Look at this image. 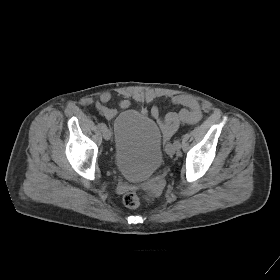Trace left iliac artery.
<instances>
[{
	"mask_svg": "<svg viewBox=\"0 0 280 280\" xmlns=\"http://www.w3.org/2000/svg\"><path fill=\"white\" fill-rule=\"evenodd\" d=\"M177 148H180V141L179 140H175L173 143Z\"/></svg>",
	"mask_w": 280,
	"mask_h": 280,
	"instance_id": "left-iliac-artery-1",
	"label": "left iliac artery"
}]
</instances>
